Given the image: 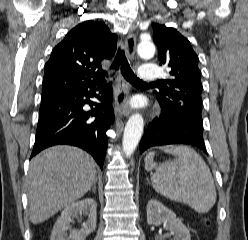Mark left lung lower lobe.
Returning a JSON list of instances; mask_svg holds the SVG:
<instances>
[{"instance_id":"obj_1","label":"left lung lower lobe","mask_w":248,"mask_h":240,"mask_svg":"<svg viewBox=\"0 0 248 240\" xmlns=\"http://www.w3.org/2000/svg\"><path fill=\"white\" fill-rule=\"evenodd\" d=\"M184 144L207 154L203 140V120L197 117L175 118L162 112L149 125L140 141V153L153 146Z\"/></svg>"}]
</instances>
